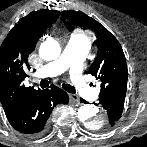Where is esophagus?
<instances>
[{
    "instance_id": "esophagus-1",
    "label": "esophagus",
    "mask_w": 147,
    "mask_h": 147,
    "mask_svg": "<svg viewBox=\"0 0 147 147\" xmlns=\"http://www.w3.org/2000/svg\"><path fill=\"white\" fill-rule=\"evenodd\" d=\"M69 98L74 103L79 102V97L77 95H75V94H69Z\"/></svg>"
}]
</instances>
